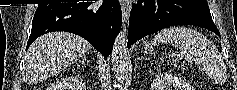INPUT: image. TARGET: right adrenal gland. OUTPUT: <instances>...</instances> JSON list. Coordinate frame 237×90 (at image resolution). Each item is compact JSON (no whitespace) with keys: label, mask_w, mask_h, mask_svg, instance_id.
I'll return each instance as SVG.
<instances>
[{"label":"right adrenal gland","mask_w":237,"mask_h":90,"mask_svg":"<svg viewBox=\"0 0 237 90\" xmlns=\"http://www.w3.org/2000/svg\"><path fill=\"white\" fill-rule=\"evenodd\" d=\"M84 62H86V56H84Z\"/></svg>","instance_id":"right-adrenal-gland-1"}]
</instances>
